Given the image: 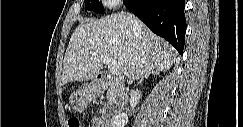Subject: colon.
I'll list each match as a JSON object with an SVG mask.
<instances>
[{
    "instance_id": "1",
    "label": "colon",
    "mask_w": 243,
    "mask_h": 127,
    "mask_svg": "<svg viewBox=\"0 0 243 127\" xmlns=\"http://www.w3.org/2000/svg\"><path fill=\"white\" fill-rule=\"evenodd\" d=\"M68 125H69V127H81L82 126L79 119H77V118H70L68 120Z\"/></svg>"
}]
</instances>
